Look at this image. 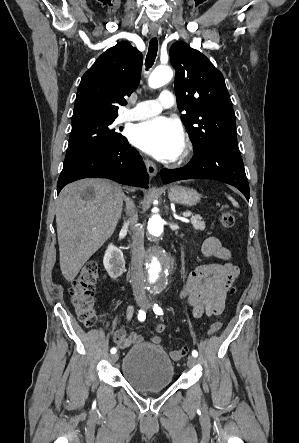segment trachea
I'll list each match as a JSON object with an SVG mask.
<instances>
[{"mask_svg":"<svg viewBox=\"0 0 299 443\" xmlns=\"http://www.w3.org/2000/svg\"><path fill=\"white\" fill-rule=\"evenodd\" d=\"M158 51V41L152 38L149 43L148 53L145 60L146 68L149 69L154 64Z\"/></svg>","mask_w":299,"mask_h":443,"instance_id":"trachea-1","label":"trachea"}]
</instances>
